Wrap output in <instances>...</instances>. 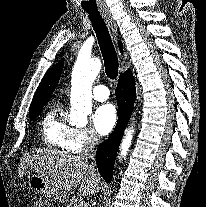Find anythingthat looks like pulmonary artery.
<instances>
[{
    "instance_id": "pulmonary-artery-1",
    "label": "pulmonary artery",
    "mask_w": 206,
    "mask_h": 207,
    "mask_svg": "<svg viewBox=\"0 0 206 207\" xmlns=\"http://www.w3.org/2000/svg\"><path fill=\"white\" fill-rule=\"evenodd\" d=\"M92 93H93V97L96 100H100V101L106 100L110 96V91H109L108 87L105 86V85H97V86H95L93 88Z\"/></svg>"
}]
</instances>
